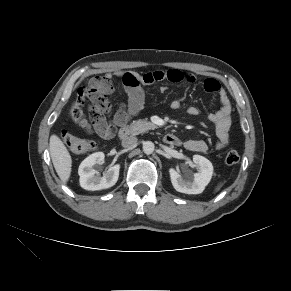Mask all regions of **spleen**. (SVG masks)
I'll use <instances>...</instances> for the list:
<instances>
[{
    "mask_svg": "<svg viewBox=\"0 0 291 291\" xmlns=\"http://www.w3.org/2000/svg\"><path fill=\"white\" fill-rule=\"evenodd\" d=\"M222 184H219L215 191H218L221 188Z\"/></svg>",
    "mask_w": 291,
    "mask_h": 291,
    "instance_id": "obj_1",
    "label": "spleen"
}]
</instances>
